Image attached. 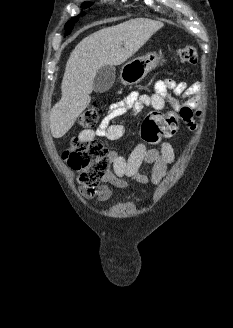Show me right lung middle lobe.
Here are the masks:
<instances>
[{
	"instance_id": "1",
	"label": "right lung middle lobe",
	"mask_w": 233,
	"mask_h": 328,
	"mask_svg": "<svg viewBox=\"0 0 233 328\" xmlns=\"http://www.w3.org/2000/svg\"><path fill=\"white\" fill-rule=\"evenodd\" d=\"M92 4L91 3H83L82 4V7H84V8H88V7H90ZM85 14V12H82L80 15H84ZM80 15H78V16H76V17H73L70 21H68L67 23H66V25H65V29H66V34L68 35V34H70V32L72 31V28H73V26H74V24L76 23V21L78 20V17L80 16Z\"/></svg>"
}]
</instances>
